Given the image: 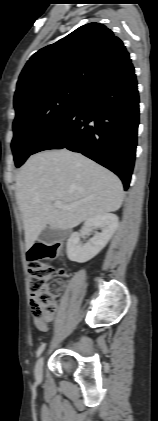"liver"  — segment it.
Masks as SVG:
<instances>
[{
    "label": "liver",
    "mask_w": 158,
    "mask_h": 421,
    "mask_svg": "<svg viewBox=\"0 0 158 421\" xmlns=\"http://www.w3.org/2000/svg\"><path fill=\"white\" fill-rule=\"evenodd\" d=\"M16 199L30 249L47 225L67 230L117 211L123 202V186L115 174L81 154L48 150L30 156L21 168ZM55 201L65 208H56Z\"/></svg>",
    "instance_id": "obj_1"
}]
</instances>
